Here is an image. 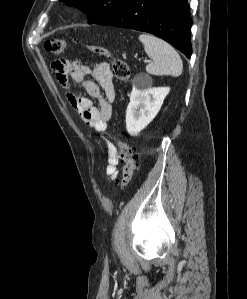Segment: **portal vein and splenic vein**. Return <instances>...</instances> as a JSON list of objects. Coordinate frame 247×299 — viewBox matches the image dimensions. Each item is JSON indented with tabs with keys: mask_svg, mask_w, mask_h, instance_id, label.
<instances>
[{
	"mask_svg": "<svg viewBox=\"0 0 247 299\" xmlns=\"http://www.w3.org/2000/svg\"><path fill=\"white\" fill-rule=\"evenodd\" d=\"M149 60H145V62L147 63Z\"/></svg>",
	"mask_w": 247,
	"mask_h": 299,
	"instance_id": "portal-vein-and-splenic-vein-1",
	"label": "portal vein and splenic vein"
}]
</instances>
